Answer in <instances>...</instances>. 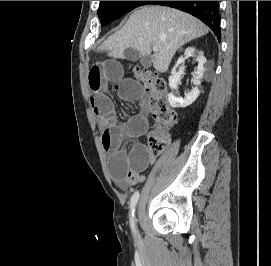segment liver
Masks as SVG:
<instances>
[{
  "label": "liver",
  "mask_w": 271,
  "mask_h": 266,
  "mask_svg": "<svg viewBox=\"0 0 271 266\" xmlns=\"http://www.w3.org/2000/svg\"><path fill=\"white\" fill-rule=\"evenodd\" d=\"M208 27L190 14L165 6H143L136 9L122 29L111 35L100 47L113 58H125L126 49L142 57L152 56L154 68L164 73L176 51L187 42L207 34Z\"/></svg>",
  "instance_id": "liver-1"
}]
</instances>
